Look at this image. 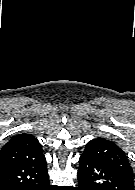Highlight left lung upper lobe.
Wrapping results in <instances>:
<instances>
[{"instance_id": "left-lung-upper-lobe-1", "label": "left lung upper lobe", "mask_w": 135, "mask_h": 190, "mask_svg": "<svg viewBox=\"0 0 135 190\" xmlns=\"http://www.w3.org/2000/svg\"><path fill=\"white\" fill-rule=\"evenodd\" d=\"M83 156L98 159L118 171L124 178L133 182V171L124 151L113 141L97 138L86 144Z\"/></svg>"}]
</instances>
